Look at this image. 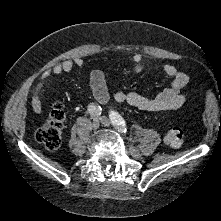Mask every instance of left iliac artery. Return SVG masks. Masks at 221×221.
<instances>
[{"label": "left iliac artery", "instance_id": "obj_1", "mask_svg": "<svg viewBox=\"0 0 221 221\" xmlns=\"http://www.w3.org/2000/svg\"><path fill=\"white\" fill-rule=\"evenodd\" d=\"M112 124L121 132L126 133V122L117 112L111 111L109 115Z\"/></svg>", "mask_w": 221, "mask_h": 221}]
</instances>
